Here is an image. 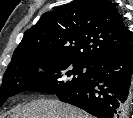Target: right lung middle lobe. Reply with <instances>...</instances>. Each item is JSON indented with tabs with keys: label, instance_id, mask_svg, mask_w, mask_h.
Returning <instances> with one entry per match:
<instances>
[{
	"label": "right lung middle lobe",
	"instance_id": "dd1d6c3e",
	"mask_svg": "<svg viewBox=\"0 0 133 118\" xmlns=\"http://www.w3.org/2000/svg\"><path fill=\"white\" fill-rule=\"evenodd\" d=\"M91 75V66L57 58L7 69L0 87V105L9 97L23 91L61 94L87 83Z\"/></svg>",
	"mask_w": 133,
	"mask_h": 118
}]
</instances>
